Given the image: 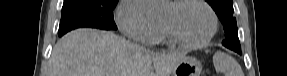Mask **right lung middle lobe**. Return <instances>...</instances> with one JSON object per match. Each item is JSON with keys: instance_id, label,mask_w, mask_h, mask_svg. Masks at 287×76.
Returning <instances> with one entry per match:
<instances>
[{"instance_id": "dd1d6c3e", "label": "right lung middle lobe", "mask_w": 287, "mask_h": 76, "mask_svg": "<svg viewBox=\"0 0 287 76\" xmlns=\"http://www.w3.org/2000/svg\"><path fill=\"white\" fill-rule=\"evenodd\" d=\"M118 0H64L58 35L80 27L115 30L113 9Z\"/></svg>"}]
</instances>
